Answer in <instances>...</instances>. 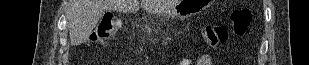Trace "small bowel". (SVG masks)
Listing matches in <instances>:
<instances>
[{"label": "small bowel", "mask_w": 309, "mask_h": 65, "mask_svg": "<svg viewBox=\"0 0 309 65\" xmlns=\"http://www.w3.org/2000/svg\"><path fill=\"white\" fill-rule=\"evenodd\" d=\"M179 65H212V58L208 54H202L195 58H184Z\"/></svg>", "instance_id": "small-bowel-1"}]
</instances>
